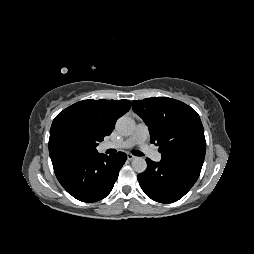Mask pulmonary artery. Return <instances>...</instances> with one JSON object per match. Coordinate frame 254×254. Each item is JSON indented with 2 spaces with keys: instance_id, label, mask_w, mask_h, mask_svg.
<instances>
[{
  "instance_id": "obj_1",
  "label": "pulmonary artery",
  "mask_w": 254,
  "mask_h": 254,
  "mask_svg": "<svg viewBox=\"0 0 254 254\" xmlns=\"http://www.w3.org/2000/svg\"><path fill=\"white\" fill-rule=\"evenodd\" d=\"M149 137L148 127L145 124H138L135 132L124 141L118 143H106L104 148H131L134 145H139V147L151 158L153 161H160L161 155L153 148L147 145V139Z\"/></svg>"
}]
</instances>
